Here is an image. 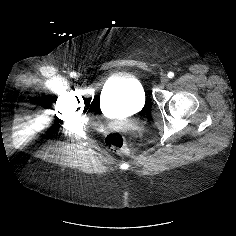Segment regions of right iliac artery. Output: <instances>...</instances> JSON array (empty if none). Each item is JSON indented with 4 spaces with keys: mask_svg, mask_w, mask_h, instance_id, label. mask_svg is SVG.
<instances>
[{
    "mask_svg": "<svg viewBox=\"0 0 236 236\" xmlns=\"http://www.w3.org/2000/svg\"><path fill=\"white\" fill-rule=\"evenodd\" d=\"M70 77H72V78H76V77H77L76 72H71V73H70Z\"/></svg>",
    "mask_w": 236,
    "mask_h": 236,
    "instance_id": "right-iliac-artery-1",
    "label": "right iliac artery"
}]
</instances>
